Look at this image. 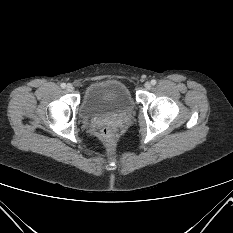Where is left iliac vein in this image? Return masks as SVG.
Masks as SVG:
<instances>
[{
    "mask_svg": "<svg viewBox=\"0 0 233 233\" xmlns=\"http://www.w3.org/2000/svg\"><path fill=\"white\" fill-rule=\"evenodd\" d=\"M144 87H145V89L149 90L151 88V83L150 82H146L144 84Z\"/></svg>",
    "mask_w": 233,
    "mask_h": 233,
    "instance_id": "left-iliac-vein-1",
    "label": "left iliac vein"
}]
</instances>
